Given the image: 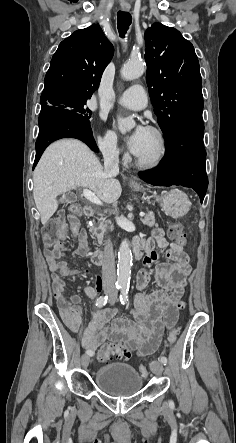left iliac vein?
Segmentation results:
<instances>
[{"label":"left iliac vein","instance_id":"obj_1","mask_svg":"<svg viewBox=\"0 0 236 443\" xmlns=\"http://www.w3.org/2000/svg\"><path fill=\"white\" fill-rule=\"evenodd\" d=\"M150 369L151 371L160 376L163 373V365L162 363L158 362V361H153L150 363Z\"/></svg>","mask_w":236,"mask_h":443}]
</instances>
